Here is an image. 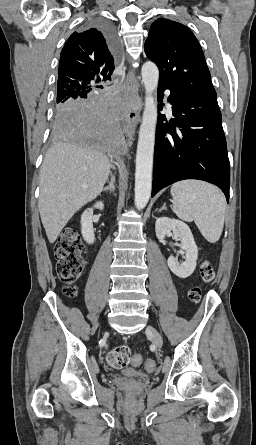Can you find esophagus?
<instances>
[{
    "label": "esophagus",
    "mask_w": 256,
    "mask_h": 445,
    "mask_svg": "<svg viewBox=\"0 0 256 445\" xmlns=\"http://www.w3.org/2000/svg\"><path fill=\"white\" fill-rule=\"evenodd\" d=\"M125 90L127 98V116L124 130L130 140L134 139L136 127L140 121L142 99L139 95V83L134 70L131 69L126 76Z\"/></svg>",
    "instance_id": "1"
}]
</instances>
